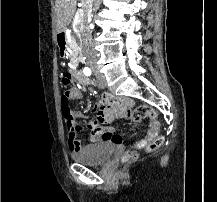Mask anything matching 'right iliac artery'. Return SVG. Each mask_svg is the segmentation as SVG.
Returning <instances> with one entry per match:
<instances>
[{
    "instance_id": "right-iliac-artery-1",
    "label": "right iliac artery",
    "mask_w": 217,
    "mask_h": 202,
    "mask_svg": "<svg viewBox=\"0 0 217 202\" xmlns=\"http://www.w3.org/2000/svg\"><path fill=\"white\" fill-rule=\"evenodd\" d=\"M85 75L90 76L91 75V70L89 69L87 72H85Z\"/></svg>"
}]
</instances>
